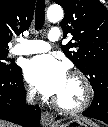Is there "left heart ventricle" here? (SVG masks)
I'll return each instance as SVG.
<instances>
[{
  "mask_svg": "<svg viewBox=\"0 0 108 127\" xmlns=\"http://www.w3.org/2000/svg\"><path fill=\"white\" fill-rule=\"evenodd\" d=\"M82 90L79 82L71 77H67L62 90L56 95V99L64 105H76L80 102Z\"/></svg>",
  "mask_w": 108,
  "mask_h": 127,
  "instance_id": "1",
  "label": "left heart ventricle"
}]
</instances>
